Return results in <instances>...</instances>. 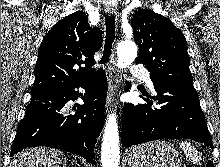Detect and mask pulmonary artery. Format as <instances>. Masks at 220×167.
<instances>
[{"mask_svg":"<svg viewBox=\"0 0 220 167\" xmlns=\"http://www.w3.org/2000/svg\"><path fill=\"white\" fill-rule=\"evenodd\" d=\"M131 74L133 76L140 77L141 79H143L145 81V83L147 84V86L150 89H153L154 85H153L152 81L149 78L147 70L144 67H142L140 65L132 66Z\"/></svg>","mask_w":220,"mask_h":167,"instance_id":"e3ab8cb5","label":"pulmonary artery"}]
</instances>
